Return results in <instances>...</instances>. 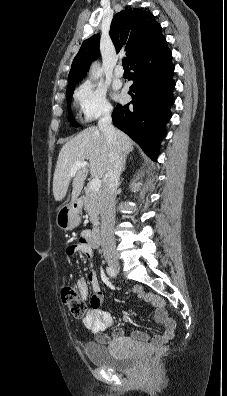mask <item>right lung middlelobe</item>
<instances>
[{
    "mask_svg": "<svg viewBox=\"0 0 227 396\" xmlns=\"http://www.w3.org/2000/svg\"><path fill=\"white\" fill-rule=\"evenodd\" d=\"M74 88L75 87H73V88H71L70 90L67 91V103H68V108H69L68 120H69V122H71V124L73 126H77V123L75 122V119H74V117L72 115V112L70 110L71 97L73 95Z\"/></svg>",
    "mask_w": 227,
    "mask_h": 396,
    "instance_id": "1",
    "label": "right lung middle lobe"
}]
</instances>
